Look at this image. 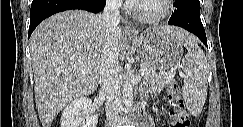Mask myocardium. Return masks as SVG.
<instances>
[{"instance_id":"myocardium-1","label":"myocardium","mask_w":243,"mask_h":127,"mask_svg":"<svg viewBox=\"0 0 243 127\" xmlns=\"http://www.w3.org/2000/svg\"><path fill=\"white\" fill-rule=\"evenodd\" d=\"M161 1L163 4V8L157 14H152V15L142 14L138 9L139 3H137L135 5H131L130 9H131L133 16L141 22H144V23L159 22V21L165 19L171 13V10H172V7H171L172 1L171 0H161Z\"/></svg>"}]
</instances>
